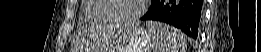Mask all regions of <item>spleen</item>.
Wrapping results in <instances>:
<instances>
[{
    "mask_svg": "<svg viewBox=\"0 0 261 52\" xmlns=\"http://www.w3.org/2000/svg\"><path fill=\"white\" fill-rule=\"evenodd\" d=\"M146 27L153 38L154 52H184L186 37L179 30L159 22H147Z\"/></svg>",
    "mask_w": 261,
    "mask_h": 52,
    "instance_id": "spleen-1",
    "label": "spleen"
}]
</instances>
